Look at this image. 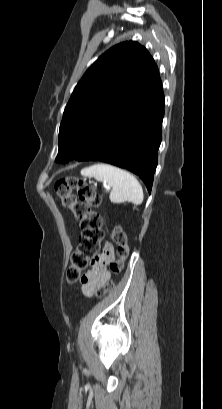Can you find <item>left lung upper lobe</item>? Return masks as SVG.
Masks as SVG:
<instances>
[{"label": "left lung upper lobe", "mask_w": 222, "mask_h": 409, "mask_svg": "<svg viewBox=\"0 0 222 409\" xmlns=\"http://www.w3.org/2000/svg\"><path fill=\"white\" fill-rule=\"evenodd\" d=\"M161 87L158 68L145 47L129 41L110 48L89 67L65 107L56 162L78 160L126 101H144Z\"/></svg>", "instance_id": "1"}]
</instances>
